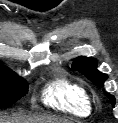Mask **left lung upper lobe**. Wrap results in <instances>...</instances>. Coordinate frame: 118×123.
Listing matches in <instances>:
<instances>
[{
	"mask_svg": "<svg viewBox=\"0 0 118 123\" xmlns=\"http://www.w3.org/2000/svg\"><path fill=\"white\" fill-rule=\"evenodd\" d=\"M72 69L85 75L91 82L99 87H103L107 75L101 73L96 68V60L89 57H77L73 60ZM112 105L115 104V98L107 94Z\"/></svg>",
	"mask_w": 118,
	"mask_h": 123,
	"instance_id": "5c2ea615",
	"label": "left lung upper lobe"
}]
</instances>
